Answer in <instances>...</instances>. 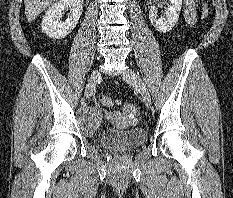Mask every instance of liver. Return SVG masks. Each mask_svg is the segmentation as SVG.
Listing matches in <instances>:
<instances>
[{"label": "liver", "mask_w": 233, "mask_h": 198, "mask_svg": "<svg viewBox=\"0 0 233 198\" xmlns=\"http://www.w3.org/2000/svg\"><path fill=\"white\" fill-rule=\"evenodd\" d=\"M55 1L56 0H24L25 15L28 22H32L40 13Z\"/></svg>", "instance_id": "1"}]
</instances>
